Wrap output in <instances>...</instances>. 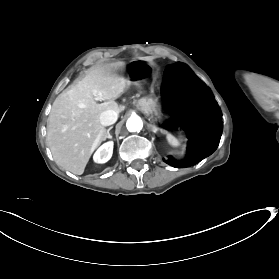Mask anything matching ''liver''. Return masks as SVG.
Instances as JSON below:
<instances>
[{"instance_id":"6515ba94","label":"liver","mask_w":279,"mask_h":279,"mask_svg":"<svg viewBox=\"0 0 279 279\" xmlns=\"http://www.w3.org/2000/svg\"><path fill=\"white\" fill-rule=\"evenodd\" d=\"M117 68L93 69L55 99L47 121L46 143L64 170L82 175L94 151L106 140L107 129L100 123V114L105 110L119 113L116 100L131 85ZM98 99L106 101L98 103Z\"/></svg>"}]
</instances>
